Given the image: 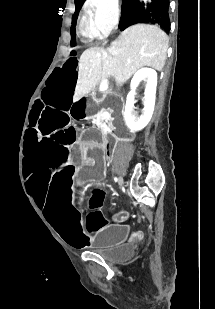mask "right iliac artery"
Listing matches in <instances>:
<instances>
[{
  "mask_svg": "<svg viewBox=\"0 0 215 309\" xmlns=\"http://www.w3.org/2000/svg\"><path fill=\"white\" fill-rule=\"evenodd\" d=\"M114 181H115V182H117V181H118V179L115 177V178H114Z\"/></svg>",
  "mask_w": 215,
  "mask_h": 309,
  "instance_id": "82829eb1",
  "label": "right iliac artery"
}]
</instances>
